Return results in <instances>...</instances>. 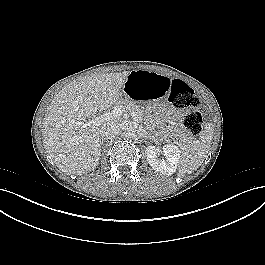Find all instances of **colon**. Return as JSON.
Returning a JSON list of instances; mask_svg holds the SVG:
<instances>
[{"label":"colon","mask_w":265,"mask_h":265,"mask_svg":"<svg viewBox=\"0 0 265 265\" xmlns=\"http://www.w3.org/2000/svg\"><path fill=\"white\" fill-rule=\"evenodd\" d=\"M170 102L177 108L199 106L200 101L194 90L181 80H173L170 84ZM184 129L191 135L197 136L203 129V116L198 110L187 114L183 121Z\"/></svg>","instance_id":"colon-1"}]
</instances>
